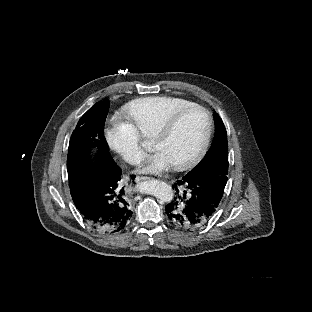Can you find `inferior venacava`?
<instances>
[{
	"label": "inferior vena cava",
	"instance_id": "1",
	"mask_svg": "<svg viewBox=\"0 0 312 312\" xmlns=\"http://www.w3.org/2000/svg\"><path fill=\"white\" fill-rule=\"evenodd\" d=\"M143 158H144L143 154H136L132 156L131 164L138 165L143 160Z\"/></svg>",
	"mask_w": 312,
	"mask_h": 312
}]
</instances>
